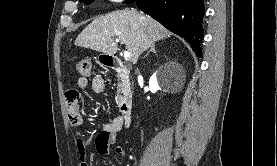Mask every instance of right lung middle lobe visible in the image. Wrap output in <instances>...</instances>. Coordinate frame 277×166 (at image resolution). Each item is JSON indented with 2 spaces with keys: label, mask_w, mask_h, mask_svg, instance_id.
<instances>
[{
  "label": "right lung middle lobe",
  "mask_w": 277,
  "mask_h": 166,
  "mask_svg": "<svg viewBox=\"0 0 277 166\" xmlns=\"http://www.w3.org/2000/svg\"><path fill=\"white\" fill-rule=\"evenodd\" d=\"M80 2H84L85 4H90L92 2V0H80Z\"/></svg>",
  "instance_id": "1"
}]
</instances>
